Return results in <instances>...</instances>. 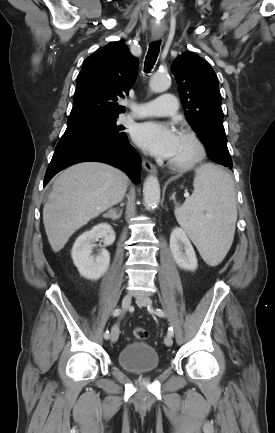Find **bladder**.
Segmentation results:
<instances>
[{"label": "bladder", "instance_id": "31cf9c89", "mask_svg": "<svg viewBox=\"0 0 275 433\" xmlns=\"http://www.w3.org/2000/svg\"><path fill=\"white\" fill-rule=\"evenodd\" d=\"M118 363L122 369L133 374L155 371L160 367L159 356L155 348L145 342H130L118 354Z\"/></svg>", "mask_w": 275, "mask_h": 433}]
</instances>
